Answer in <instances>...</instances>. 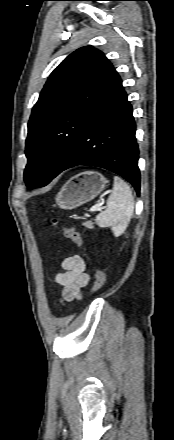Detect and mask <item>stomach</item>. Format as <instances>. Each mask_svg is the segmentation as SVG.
Here are the masks:
<instances>
[{"label": "stomach", "mask_w": 174, "mask_h": 440, "mask_svg": "<svg viewBox=\"0 0 174 440\" xmlns=\"http://www.w3.org/2000/svg\"><path fill=\"white\" fill-rule=\"evenodd\" d=\"M106 178L96 171H84L70 178L56 196V204L65 210L77 208L101 193Z\"/></svg>", "instance_id": "1"}]
</instances>
